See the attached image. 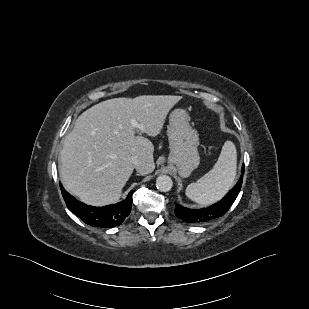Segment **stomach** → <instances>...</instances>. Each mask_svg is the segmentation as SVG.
I'll use <instances>...</instances> for the list:
<instances>
[{
    "mask_svg": "<svg viewBox=\"0 0 309 309\" xmlns=\"http://www.w3.org/2000/svg\"><path fill=\"white\" fill-rule=\"evenodd\" d=\"M169 163L176 166L182 177H188L200 163L197 150L198 133L190 126V116L184 109H175L169 116Z\"/></svg>",
    "mask_w": 309,
    "mask_h": 309,
    "instance_id": "1",
    "label": "stomach"
}]
</instances>
